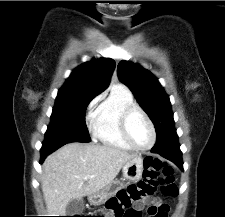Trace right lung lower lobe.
I'll list each match as a JSON object with an SVG mask.
<instances>
[{
	"label": "right lung lower lobe",
	"instance_id": "obj_1",
	"mask_svg": "<svg viewBox=\"0 0 225 217\" xmlns=\"http://www.w3.org/2000/svg\"><path fill=\"white\" fill-rule=\"evenodd\" d=\"M64 142H44L42 144V148L40 150L41 153V162L46 158L47 155L52 153L53 151L57 150L61 146L65 145Z\"/></svg>",
	"mask_w": 225,
	"mask_h": 217
}]
</instances>
